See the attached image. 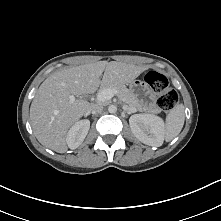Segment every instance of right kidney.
Listing matches in <instances>:
<instances>
[{"instance_id":"obj_1","label":"right kidney","mask_w":221,"mask_h":221,"mask_svg":"<svg viewBox=\"0 0 221 221\" xmlns=\"http://www.w3.org/2000/svg\"><path fill=\"white\" fill-rule=\"evenodd\" d=\"M90 128V121L80 120L76 122L69 130L66 142L70 149H76L78 148L82 142L84 141L85 137L88 134Z\"/></svg>"}]
</instances>
